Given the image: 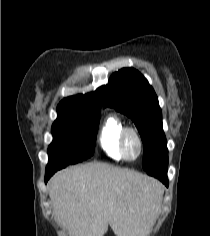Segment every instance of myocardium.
Returning <instances> with one entry per match:
<instances>
[{"mask_svg": "<svg viewBox=\"0 0 210 236\" xmlns=\"http://www.w3.org/2000/svg\"><path fill=\"white\" fill-rule=\"evenodd\" d=\"M129 135L134 136L138 143V153L134 158H131L127 155L126 148H125L126 139ZM119 148H120L123 158L127 161H135L141 156L143 152V140L140 133L137 131V129L131 126H125L122 129L120 138H119Z\"/></svg>", "mask_w": 210, "mask_h": 236, "instance_id": "myocardium-1", "label": "myocardium"}]
</instances>
